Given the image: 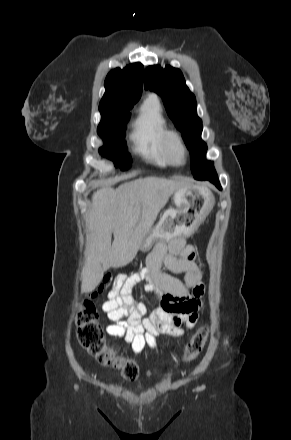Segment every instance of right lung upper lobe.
<instances>
[{"label":"right lung upper lobe","instance_id":"obj_1","mask_svg":"<svg viewBox=\"0 0 291 440\" xmlns=\"http://www.w3.org/2000/svg\"><path fill=\"white\" fill-rule=\"evenodd\" d=\"M144 67L140 63L116 68L105 79V94L99 109L111 107L132 108L139 100L143 88Z\"/></svg>","mask_w":291,"mask_h":440}]
</instances>
